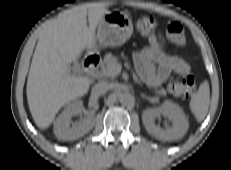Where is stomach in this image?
Here are the masks:
<instances>
[{"label":"stomach","instance_id":"0dacf381","mask_svg":"<svg viewBox=\"0 0 231 170\" xmlns=\"http://www.w3.org/2000/svg\"><path fill=\"white\" fill-rule=\"evenodd\" d=\"M133 33V24L126 13L109 12L100 21L96 42L102 46H121Z\"/></svg>","mask_w":231,"mask_h":170}]
</instances>
